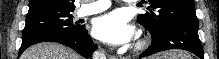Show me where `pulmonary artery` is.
<instances>
[{
  "mask_svg": "<svg viewBox=\"0 0 219 59\" xmlns=\"http://www.w3.org/2000/svg\"><path fill=\"white\" fill-rule=\"evenodd\" d=\"M87 2L89 4L85 5L79 10V15L82 17L102 12L107 8H109L110 6L109 1H105V0L87 1Z\"/></svg>",
  "mask_w": 219,
  "mask_h": 59,
  "instance_id": "e3ab8cb5",
  "label": "pulmonary artery"
}]
</instances>
